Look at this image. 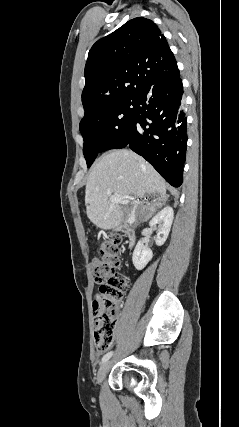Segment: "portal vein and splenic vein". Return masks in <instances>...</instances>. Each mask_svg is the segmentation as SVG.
Segmentation results:
<instances>
[{"mask_svg":"<svg viewBox=\"0 0 239 427\" xmlns=\"http://www.w3.org/2000/svg\"><path fill=\"white\" fill-rule=\"evenodd\" d=\"M130 197H128V196H120V195H110L109 196V199H110V201L111 202H113V203H125V202H127L125 199H129Z\"/></svg>","mask_w":239,"mask_h":427,"instance_id":"portal-vein-and-splenic-vein-1","label":"portal vein and splenic vein"}]
</instances>
